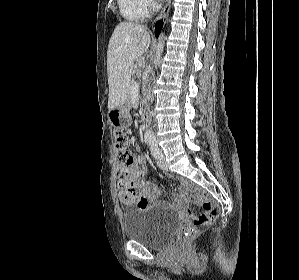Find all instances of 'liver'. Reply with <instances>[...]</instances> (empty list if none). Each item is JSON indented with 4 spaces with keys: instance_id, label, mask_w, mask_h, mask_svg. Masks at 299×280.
<instances>
[{
    "instance_id": "obj_1",
    "label": "liver",
    "mask_w": 299,
    "mask_h": 280,
    "mask_svg": "<svg viewBox=\"0 0 299 280\" xmlns=\"http://www.w3.org/2000/svg\"><path fill=\"white\" fill-rule=\"evenodd\" d=\"M150 43V34L140 24L121 22L115 28L107 50L109 111L127 99L134 62L147 52Z\"/></svg>"
}]
</instances>
